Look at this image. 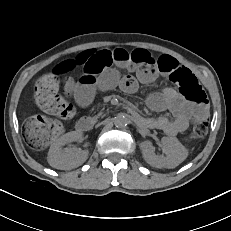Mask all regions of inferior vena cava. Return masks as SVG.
Segmentation results:
<instances>
[{"label": "inferior vena cava", "instance_id": "obj_1", "mask_svg": "<svg viewBox=\"0 0 231 231\" xmlns=\"http://www.w3.org/2000/svg\"><path fill=\"white\" fill-rule=\"evenodd\" d=\"M105 123L103 121H101L100 123L96 124L94 127L97 129L100 126H103Z\"/></svg>", "mask_w": 231, "mask_h": 231}]
</instances>
